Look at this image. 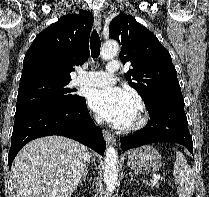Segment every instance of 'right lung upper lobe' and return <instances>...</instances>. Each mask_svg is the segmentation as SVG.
<instances>
[{
  "label": "right lung upper lobe",
  "instance_id": "cb5924a9",
  "mask_svg": "<svg viewBox=\"0 0 209 197\" xmlns=\"http://www.w3.org/2000/svg\"><path fill=\"white\" fill-rule=\"evenodd\" d=\"M90 12L65 15L39 33L25 54L20 85L71 80L75 65L89 57Z\"/></svg>",
  "mask_w": 209,
  "mask_h": 197
}]
</instances>
